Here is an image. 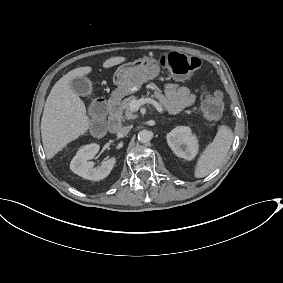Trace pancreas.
I'll return each mask as SVG.
<instances>
[{
    "label": "pancreas",
    "mask_w": 283,
    "mask_h": 283,
    "mask_svg": "<svg viewBox=\"0 0 283 283\" xmlns=\"http://www.w3.org/2000/svg\"><path fill=\"white\" fill-rule=\"evenodd\" d=\"M133 100H137V97L130 96L128 98H125L123 101H121L119 105V111H120L121 118L135 119L137 117V115H134L133 111L130 110V103ZM112 108L113 106L109 107L110 111L112 110Z\"/></svg>",
    "instance_id": "obj_1"
}]
</instances>
